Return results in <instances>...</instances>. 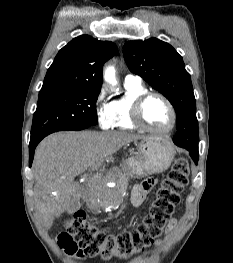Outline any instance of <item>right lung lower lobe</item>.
Wrapping results in <instances>:
<instances>
[{
    "mask_svg": "<svg viewBox=\"0 0 233 263\" xmlns=\"http://www.w3.org/2000/svg\"><path fill=\"white\" fill-rule=\"evenodd\" d=\"M89 126H82V127H75V128H68V129H64V130H82V129H85ZM47 136V135H46ZM45 136L35 140V141H30V144H29V166L31 167L32 165V162H33V157H34V151H35V148L36 146L38 145V143L44 138Z\"/></svg>",
    "mask_w": 233,
    "mask_h": 263,
    "instance_id": "obj_1",
    "label": "right lung lower lobe"
}]
</instances>
